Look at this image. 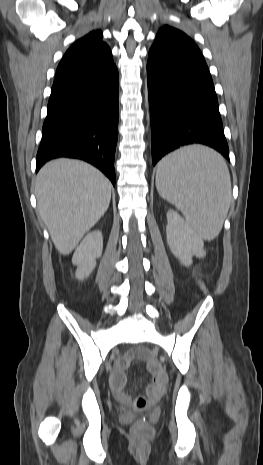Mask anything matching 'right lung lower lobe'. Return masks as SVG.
<instances>
[{
	"instance_id": "98d812e1",
	"label": "right lung lower lobe",
	"mask_w": 263,
	"mask_h": 465,
	"mask_svg": "<svg viewBox=\"0 0 263 465\" xmlns=\"http://www.w3.org/2000/svg\"><path fill=\"white\" fill-rule=\"evenodd\" d=\"M47 109L36 172L50 159L77 158L96 166L115 185L119 119L117 68L99 76L53 85Z\"/></svg>"
}]
</instances>
